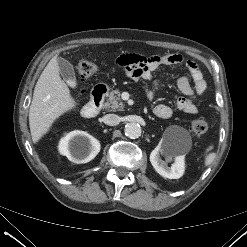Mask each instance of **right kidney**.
I'll return each instance as SVG.
<instances>
[{
    "label": "right kidney",
    "mask_w": 247,
    "mask_h": 247,
    "mask_svg": "<svg viewBox=\"0 0 247 247\" xmlns=\"http://www.w3.org/2000/svg\"><path fill=\"white\" fill-rule=\"evenodd\" d=\"M77 138H83L87 141L88 144V155L80 160L81 162H89L94 159L97 154L100 152V142L90 135L89 133L82 131V130H74L67 133L64 137L61 138L58 145V150L60 154L67 156L71 159V152H70V141Z\"/></svg>",
    "instance_id": "right-kidney-1"
}]
</instances>
